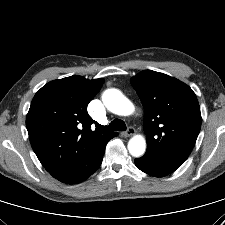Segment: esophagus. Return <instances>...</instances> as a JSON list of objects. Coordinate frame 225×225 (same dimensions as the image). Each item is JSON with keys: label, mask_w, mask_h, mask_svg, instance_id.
<instances>
[{"label": "esophagus", "mask_w": 225, "mask_h": 225, "mask_svg": "<svg viewBox=\"0 0 225 225\" xmlns=\"http://www.w3.org/2000/svg\"><path fill=\"white\" fill-rule=\"evenodd\" d=\"M135 132H136V131H135L134 127H129V128L127 129V131L123 133V136H124V137H130V136L134 135Z\"/></svg>", "instance_id": "obj_1"}]
</instances>
